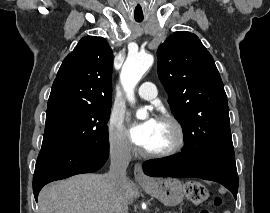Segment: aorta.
I'll use <instances>...</instances> for the list:
<instances>
[{
	"instance_id": "762f6f07",
	"label": "aorta",
	"mask_w": 270,
	"mask_h": 213,
	"mask_svg": "<svg viewBox=\"0 0 270 213\" xmlns=\"http://www.w3.org/2000/svg\"><path fill=\"white\" fill-rule=\"evenodd\" d=\"M153 62V55L146 52L131 54L127 57L121 70L120 79L124 90L127 93L128 100L131 103H134L135 101V86L146 71L152 66ZM137 117L139 119H145L147 117V111L145 109L138 110Z\"/></svg>"
}]
</instances>
